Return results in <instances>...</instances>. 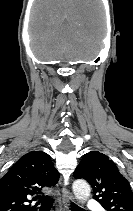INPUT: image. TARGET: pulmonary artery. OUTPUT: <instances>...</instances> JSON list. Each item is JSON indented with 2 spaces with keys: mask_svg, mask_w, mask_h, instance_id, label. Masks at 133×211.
Wrapping results in <instances>:
<instances>
[{
  "mask_svg": "<svg viewBox=\"0 0 133 211\" xmlns=\"http://www.w3.org/2000/svg\"><path fill=\"white\" fill-rule=\"evenodd\" d=\"M87 206L89 209H91L93 211H101V206L99 205V203H97L94 200H89L87 203Z\"/></svg>",
  "mask_w": 133,
  "mask_h": 211,
  "instance_id": "1",
  "label": "pulmonary artery"
}]
</instances>
